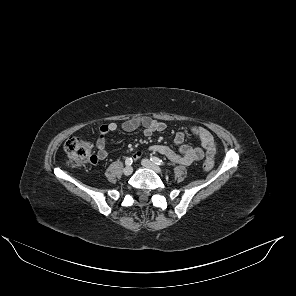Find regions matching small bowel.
<instances>
[{"label": "small bowel", "instance_id": "c3829d8e", "mask_svg": "<svg viewBox=\"0 0 296 296\" xmlns=\"http://www.w3.org/2000/svg\"><path fill=\"white\" fill-rule=\"evenodd\" d=\"M124 132H134L142 129L146 136H150L156 132L165 130L166 125L164 122L156 120L150 116H139L128 119L121 123V125L110 122L100 127L98 138L96 141V148L98 158L104 160L108 157L106 148V137L109 133L115 132L118 129ZM188 133L197 137L200 141L201 147H191L184 144ZM174 143L178 146V151L166 145H153L151 151L160 153L168 160L177 164H191L193 162L203 159L205 156L212 158L216 152V142L212 134L202 126H195L188 131L177 132L174 137ZM140 154H135L134 159H138Z\"/></svg>", "mask_w": 296, "mask_h": 296}]
</instances>
